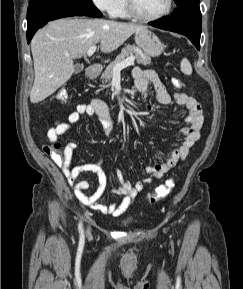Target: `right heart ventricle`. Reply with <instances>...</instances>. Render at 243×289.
I'll use <instances>...</instances> for the list:
<instances>
[{"label":"right heart ventricle","mask_w":243,"mask_h":289,"mask_svg":"<svg viewBox=\"0 0 243 289\" xmlns=\"http://www.w3.org/2000/svg\"><path fill=\"white\" fill-rule=\"evenodd\" d=\"M114 16L119 17V18H123V19H128L131 17L126 10L125 0L121 1L120 6L118 7Z\"/></svg>","instance_id":"obj_1"}]
</instances>
